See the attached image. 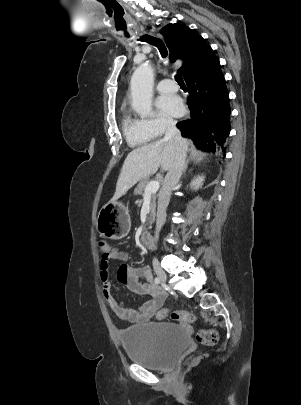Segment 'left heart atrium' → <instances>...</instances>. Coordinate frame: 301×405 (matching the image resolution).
Segmentation results:
<instances>
[{
    "instance_id": "39dd6f15",
    "label": "left heart atrium",
    "mask_w": 301,
    "mask_h": 405,
    "mask_svg": "<svg viewBox=\"0 0 301 405\" xmlns=\"http://www.w3.org/2000/svg\"><path fill=\"white\" fill-rule=\"evenodd\" d=\"M157 107L166 115L180 117L184 113V105L176 95H162L157 99Z\"/></svg>"
}]
</instances>
